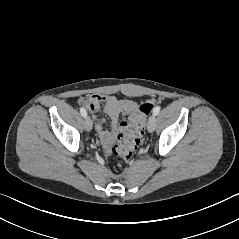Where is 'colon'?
Masks as SVG:
<instances>
[{"mask_svg": "<svg viewBox=\"0 0 239 239\" xmlns=\"http://www.w3.org/2000/svg\"><path fill=\"white\" fill-rule=\"evenodd\" d=\"M83 103L86 105L87 99L83 100ZM152 107L151 103L142 104L137 112L121 123V133L111 148L113 155L124 160L131 159L141 143L146 116L150 113Z\"/></svg>", "mask_w": 239, "mask_h": 239, "instance_id": "colon-1", "label": "colon"}]
</instances>
